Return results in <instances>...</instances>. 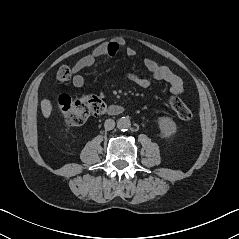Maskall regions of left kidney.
I'll return each instance as SVG.
<instances>
[{"mask_svg": "<svg viewBox=\"0 0 239 239\" xmlns=\"http://www.w3.org/2000/svg\"><path fill=\"white\" fill-rule=\"evenodd\" d=\"M158 124L161 135L164 138H169L177 132L176 123L169 117H159Z\"/></svg>", "mask_w": 239, "mask_h": 239, "instance_id": "left-kidney-1", "label": "left kidney"}]
</instances>
